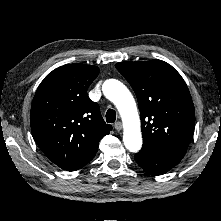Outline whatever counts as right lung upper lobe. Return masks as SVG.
<instances>
[{
    "mask_svg": "<svg viewBox=\"0 0 221 221\" xmlns=\"http://www.w3.org/2000/svg\"><path fill=\"white\" fill-rule=\"evenodd\" d=\"M98 74L96 66H61L46 76L33 98V138L48 159L64 170H75L94 157L99 141L112 129L87 95Z\"/></svg>",
    "mask_w": 221,
    "mask_h": 221,
    "instance_id": "right-lung-upper-lobe-1",
    "label": "right lung upper lobe"
}]
</instances>
